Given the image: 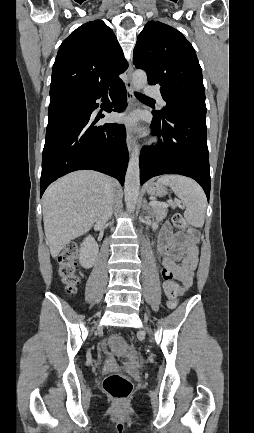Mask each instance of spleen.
<instances>
[{"mask_svg":"<svg viewBox=\"0 0 254 433\" xmlns=\"http://www.w3.org/2000/svg\"><path fill=\"white\" fill-rule=\"evenodd\" d=\"M157 183L170 186L186 207L184 217L187 222L197 228L204 225L207 199L198 183L188 177L180 175H164L157 179Z\"/></svg>","mask_w":254,"mask_h":433,"instance_id":"obj_1","label":"spleen"}]
</instances>
